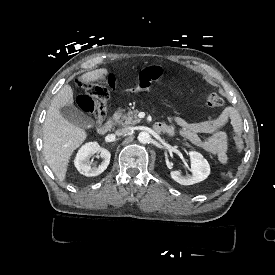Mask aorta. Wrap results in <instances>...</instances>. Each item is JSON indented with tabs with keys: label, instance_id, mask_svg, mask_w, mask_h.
<instances>
[{
	"label": "aorta",
	"instance_id": "762f6f07",
	"mask_svg": "<svg viewBox=\"0 0 275 275\" xmlns=\"http://www.w3.org/2000/svg\"><path fill=\"white\" fill-rule=\"evenodd\" d=\"M151 140L150 134L148 132L142 131L138 134V141L142 144L149 143Z\"/></svg>",
	"mask_w": 275,
	"mask_h": 275
}]
</instances>
